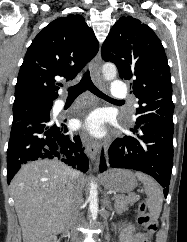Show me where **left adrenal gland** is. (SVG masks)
Returning a JSON list of instances; mask_svg holds the SVG:
<instances>
[{
    "instance_id": "a2214340",
    "label": "left adrenal gland",
    "mask_w": 187,
    "mask_h": 242,
    "mask_svg": "<svg viewBox=\"0 0 187 242\" xmlns=\"http://www.w3.org/2000/svg\"><path fill=\"white\" fill-rule=\"evenodd\" d=\"M104 205L107 208H111V203H110L109 197L107 195H105V198H104Z\"/></svg>"
}]
</instances>
